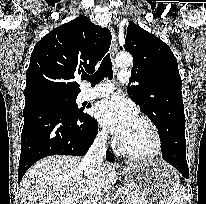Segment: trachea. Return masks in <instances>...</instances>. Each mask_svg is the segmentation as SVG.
<instances>
[{"label": "trachea", "mask_w": 206, "mask_h": 204, "mask_svg": "<svg viewBox=\"0 0 206 204\" xmlns=\"http://www.w3.org/2000/svg\"><path fill=\"white\" fill-rule=\"evenodd\" d=\"M105 77H108L109 79H112L113 77L110 54H107L103 58L98 71L93 75L86 76L85 79L91 83V86H95L96 84L100 83Z\"/></svg>", "instance_id": "obj_1"}]
</instances>
